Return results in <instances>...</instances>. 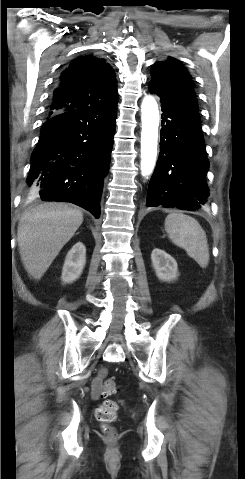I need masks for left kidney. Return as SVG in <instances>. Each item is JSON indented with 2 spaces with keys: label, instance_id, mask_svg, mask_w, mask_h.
Returning <instances> with one entry per match:
<instances>
[{
  "label": "left kidney",
  "instance_id": "left-kidney-1",
  "mask_svg": "<svg viewBox=\"0 0 245 479\" xmlns=\"http://www.w3.org/2000/svg\"><path fill=\"white\" fill-rule=\"evenodd\" d=\"M152 266L162 281H173L178 277L176 260L165 251L155 248L151 253Z\"/></svg>",
  "mask_w": 245,
  "mask_h": 479
}]
</instances>
